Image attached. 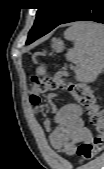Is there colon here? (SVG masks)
I'll return each mask as SVG.
<instances>
[{
  "label": "colon",
  "mask_w": 104,
  "mask_h": 169,
  "mask_svg": "<svg viewBox=\"0 0 104 169\" xmlns=\"http://www.w3.org/2000/svg\"><path fill=\"white\" fill-rule=\"evenodd\" d=\"M31 81L30 102L34 106H38L41 102V96L49 92L67 89L72 93L77 103L86 109L91 124L98 132L90 142L79 146L78 158L81 161H88L99 154L104 147V116L91 89L83 83H65L59 75H34Z\"/></svg>",
  "instance_id": "5ec220e1"
}]
</instances>
